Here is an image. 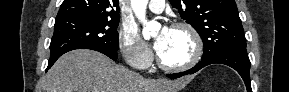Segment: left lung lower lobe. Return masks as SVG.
I'll list each match as a JSON object with an SVG mask.
<instances>
[{"mask_svg": "<svg viewBox=\"0 0 289 92\" xmlns=\"http://www.w3.org/2000/svg\"><path fill=\"white\" fill-rule=\"evenodd\" d=\"M215 63L225 64L235 69L244 80L247 91L252 92L249 75L250 60L247 51L227 50L212 54L207 57H202V60L193 68L176 74H167V77L176 79L184 75L196 73L203 67Z\"/></svg>", "mask_w": 289, "mask_h": 92, "instance_id": "0a47b994", "label": "left lung lower lobe"}]
</instances>
